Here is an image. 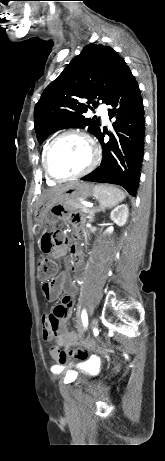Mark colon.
I'll list each match as a JSON object with an SVG mask.
<instances>
[{
	"mask_svg": "<svg viewBox=\"0 0 165 461\" xmlns=\"http://www.w3.org/2000/svg\"><path fill=\"white\" fill-rule=\"evenodd\" d=\"M55 219H51V222H54ZM64 241L63 234L57 230L46 231L40 241L41 251L43 253L51 252L55 247L61 245ZM38 277L43 281H47L56 274L55 264L46 257H40L38 259ZM55 314H59L58 311H55ZM76 346L75 340H55V347L58 348L60 353L66 352L69 348H74ZM70 355H73L74 358L79 360H87L89 358L90 349L89 348H77L74 351L69 352Z\"/></svg>",
	"mask_w": 165,
	"mask_h": 461,
	"instance_id": "obj_1",
	"label": "colon"
}]
</instances>
